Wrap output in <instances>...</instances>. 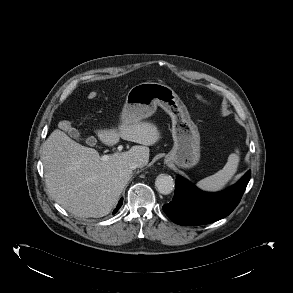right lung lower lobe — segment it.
Here are the masks:
<instances>
[{
    "mask_svg": "<svg viewBox=\"0 0 293 293\" xmlns=\"http://www.w3.org/2000/svg\"><path fill=\"white\" fill-rule=\"evenodd\" d=\"M122 202H123V200L121 199V200L119 201V203H118L116 209L114 210V213H116V212L119 210V208H120L121 205H122Z\"/></svg>",
    "mask_w": 293,
    "mask_h": 293,
    "instance_id": "98d812e1",
    "label": "right lung lower lobe"
}]
</instances>
